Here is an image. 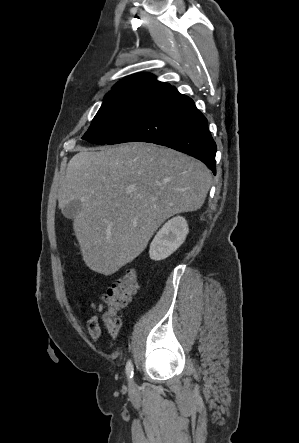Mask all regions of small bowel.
<instances>
[{"label": "small bowel", "mask_w": 299, "mask_h": 443, "mask_svg": "<svg viewBox=\"0 0 299 443\" xmlns=\"http://www.w3.org/2000/svg\"><path fill=\"white\" fill-rule=\"evenodd\" d=\"M87 329L89 332V335L93 340H98L101 337L102 331L101 327L99 325L98 316L94 315L87 321Z\"/></svg>", "instance_id": "obj_1"}]
</instances>
